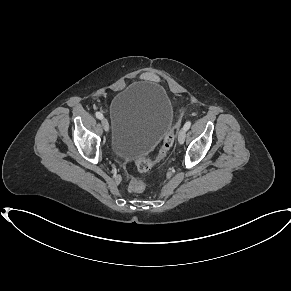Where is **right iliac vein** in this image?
Instances as JSON below:
<instances>
[{
  "label": "right iliac vein",
  "mask_w": 291,
  "mask_h": 291,
  "mask_svg": "<svg viewBox=\"0 0 291 291\" xmlns=\"http://www.w3.org/2000/svg\"><path fill=\"white\" fill-rule=\"evenodd\" d=\"M102 126L106 132L109 131V123L106 118H102L101 120Z\"/></svg>",
  "instance_id": "1"
}]
</instances>
